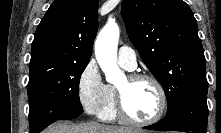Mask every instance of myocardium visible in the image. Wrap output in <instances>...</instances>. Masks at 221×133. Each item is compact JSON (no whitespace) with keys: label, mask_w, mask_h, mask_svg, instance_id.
<instances>
[{"label":"myocardium","mask_w":221,"mask_h":133,"mask_svg":"<svg viewBox=\"0 0 221 133\" xmlns=\"http://www.w3.org/2000/svg\"><path fill=\"white\" fill-rule=\"evenodd\" d=\"M126 79L130 83H134L140 80H148L152 82L154 86L156 87L158 95H159V107L155 115L151 117L150 119H147V120L135 119L132 116H130V114L128 113L126 109L123 90L117 87L116 88V111H117L118 117L122 121L128 124L139 126V127L150 126V125L157 123L163 117L167 109V96H166L165 89L162 83L160 82V80L156 78L155 76L151 74H147V73H133V74L128 75Z\"/></svg>","instance_id":"1"}]
</instances>
